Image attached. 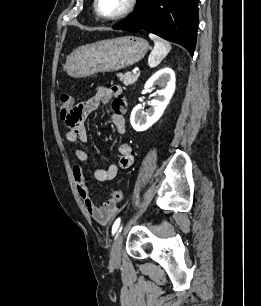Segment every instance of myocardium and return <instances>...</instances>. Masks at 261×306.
Returning <instances> with one entry per match:
<instances>
[{
	"instance_id": "f54148a6",
	"label": "myocardium",
	"mask_w": 261,
	"mask_h": 306,
	"mask_svg": "<svg viewBox=\"0 0 261 306\" xmlns=\"http://www.w3.org/2000/svg\"><path fill=\"white\" fill-rule=\"evenodd\" d=\"M98 2L99 0H94L93 2L94 12L97 17L105 21H116L126 17L134 10L137 4V0H127L125 7L119 13L112 16H105L99 11Z\"/></svg>"
}]
</instances>
